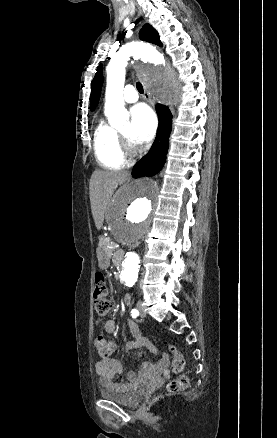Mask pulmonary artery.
<instances>
[{
	"label": "pulmonary artery",
	"instance_id": "1",
	"mask_svg": "<svg viewBox=\"0 0 277 438\" xmlns=\"http://www.w3.org/2000/svg\"><path fill=\"white\" fill-rule=\"evenodd\" d=\"M138 90L136 87H127L125 90V96L122 98L124 103H135L138 100Z\"/></svg>",
	"mask_w": 277,
	"mask_h": 438
}]
</instances>
